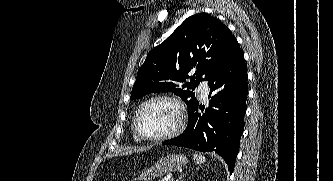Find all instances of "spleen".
Listing matches in <instances>:
<instances>
[{
  "mask_svg": "<svg viewBox=\"0 0 333 181\" xmlns=\"http://www.w3.org/2000/svg\"><path fill=\"white\" fill-rule=\"evenodd\" d=\"M193 158L197 164H202L206 161V158L203 155L197 153L193 154Z\"/></svg>",
  "mask_w": 333,
  "mask_h": 181,
  "instance_id": "1",
  "label": "spleen"
}]
</instances>
